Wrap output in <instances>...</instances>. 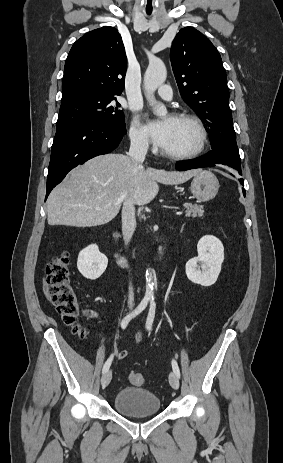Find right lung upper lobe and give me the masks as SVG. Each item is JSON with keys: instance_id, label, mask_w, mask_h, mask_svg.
Masks as SVG:
<instances>
[{"instance_id": "right-lung-upper-lobe-1", "label": "right lung upper lobe", "mask_w": 283, "mask_h": 463, "mask_svg": "<svg viewBox=\"0 0 283 463\" xmlns=\"http://www.w3.org/2000/svg\"><path fill=\"white\" fill-rule=\"evenodd\" d=\"M127 57L117 29L105 26L86 33L65 62L61 105L88 95H120Z\"/></svg>"}]
</instances>
